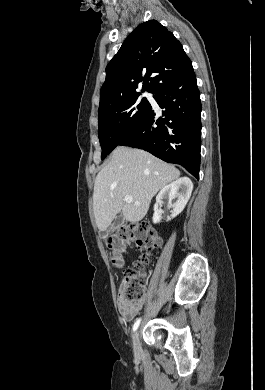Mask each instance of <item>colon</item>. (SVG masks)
Returning a JSON list of instances; mask_svg holds the SVG:
<instances>
[{
	"mask_svg": "<svg viewBox=\"0 0 265 390\" xmlns=\"http://www.w3.org/2000/svg\"><path fill=\"white\" fill-rule=\"evenodd\" d=\"M161 240L156 231L146 222L122 226L107 240V249L111 262L116 266L123 264V254L129 244H135L145 253L125 272L123 300L135 303L145 295V272L149 254L160 246Z\"/></svg>",
	"mask_w": 265,
	"mask_h": 390,
	"instance_id": "1",
	"label": "colon"
}]
</instances>
